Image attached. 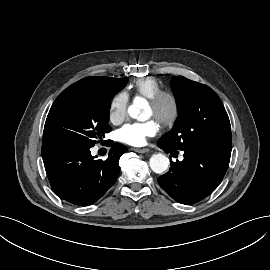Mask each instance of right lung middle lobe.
Listing matches in <instances>:
<instances>
[{
    "mask_svg": "<svg viewBox=\"0 0 270 270\" xmlns=\"http://www.w3.org/2000/svg\"><path fill=\"white\" fill-rule=\"evenodd\" d=\"M127 82L128 78H118L104 87L63 91L48 113L42 146L93 147L111 131L108 125L111 99Z\"/></svg>",
    "mask_w": 270,
    "mask_h": 270,
    "instance_id": "right-lung-middle-lobe-1",
    "label": "right lung middle lobe"
}]
</instances>
